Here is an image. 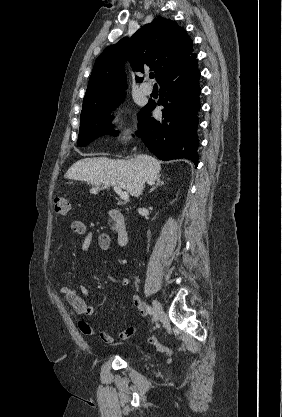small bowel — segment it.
<instances>
[{
    "label": "small bowel",
    "instance_id": "small-bowel-1",
    "mask_svg": "<svg viewBox=\"0 0 282 417\" xmlns=\"http://www.w3.org/2000/svg\"><path fill=\"white\" fill-rule=\"evenodd\" d=\"M71 231L76 235H86L85 239L81 244V250L87 252L92 244H96L101 251H107L110 247L111 240L106 233H101L97 237H94L92 234L88 233L86 224L81 220H73L70 223ZM130 281L128 278H123L121 280V286L124 288L129 287ZM61 294L65 303L71 308L72 312L79 317H90L94 315L95 308L86 303V296L88 294V289L86 286H81L79 291L75 290L70 286H63L61 288ZM134 300L137 298L134 296ZM78 328L80 332L86 336H93L95 334L92 326L84 320L78 322ZM134 329L132 327L126 328L120 332L119 338L122 340L127 339L133 333ZM101 340L106 344H112L115 342V339L108 334L106 331L100 333Z\"/></svg>",
    "mask_w": 282,
    "mask_h": 417
}]
</instances>
